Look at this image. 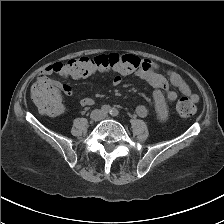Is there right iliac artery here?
<instances>
[{
  "label": "right iliac artery",
  "mask_w": 224,
  "mask_h": 224,
  "mask_svg": "<svg viewBox=\"0 0 224 224\" xmlns=\"http://www.w3.org/2000/svg\"><path fill=\"white\" fill-rule=\"evenodd\" d=\"M101 111H102V113H104V114L110 113V112H111V107H110L109 105H103V106L101 107Z\"/></svg>",
  "instance_id": "right-iliac-artery-1"
}]
</instances>
